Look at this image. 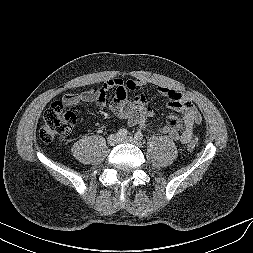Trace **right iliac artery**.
<instances>
[{
    "label": "right iliac artery",
    "mask_w": 253,
    "mask_h": 253,
    "mask_svg": "<svg viewBox=\"0 0 253 253\" xmlns=\"http://www.w3.org/2000/svg\"><path fill=\"white\" fill-rule=\"evenodd\" d=\"M117 134H118L120 137H125V136L128 135V131H127V129L122 128V129H120V130L118 131Z\"/></svg>",
    "instance_id": "obj_1"
}]
</instances>
